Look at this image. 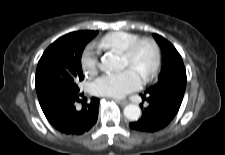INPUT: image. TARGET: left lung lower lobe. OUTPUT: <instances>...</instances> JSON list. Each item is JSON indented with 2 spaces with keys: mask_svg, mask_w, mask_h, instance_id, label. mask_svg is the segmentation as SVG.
Here are the masks:
<instances>
[{
  "mask_svg": "<svg viewBox=\"0 0 225 155\" xmlns=\"http://www.w3.org/2000/svg\"><path fill=\"white\" fill-rule=\"evenodd\" d=\"M183 93H154L141 95L149 102V106L143 109L142 117L130 123L131 129L142 132H156L164 129L176 116L183 100Z\"/></svg>",
  "mask_w": 225,
  "mask_h": 155,
  "instance_id": "left-lung-lower-lobe-1",
  "label": "left lung lower lobe"
}]
</instances>
